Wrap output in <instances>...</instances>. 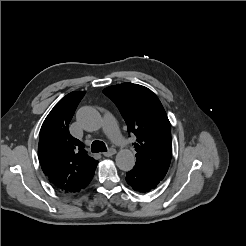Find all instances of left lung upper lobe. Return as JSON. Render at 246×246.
Masks as SVG:
<instances>
[{"instance_id": "5c2ea615", "label": "left lung upper lobe", "mask_w": 246, "mask_h": 246, "mask_svg": "<svg viewBox=\"0 0 246 246\" xmlns=\"http://www.w3.org/2000/svg\"><path fill=\"white\" fill-rule=\"evenodd\" d=\"M103 93L118 107L128 133L136 136V165L163 180L172 156L170 122L157 96L148 88L123 83Z\"/></svg>"}]
</instances>
